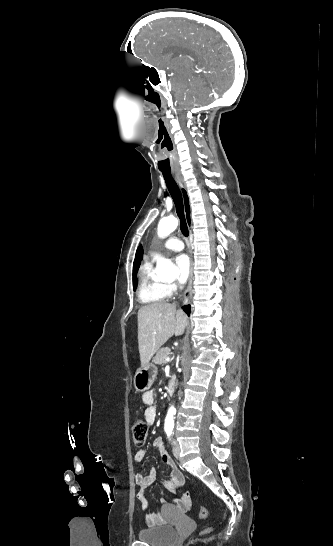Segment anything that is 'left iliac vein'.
I'll return each instance as SVG.
<instances>
[{
  "instance_id": "left-iliac-vein-1",
  "label": "left iliac vein",
  "mask_w": 333,
  "mask_h": 546,
  "mask_svg": "<svg viewBox=\"0 0 333 546\" xmlns=\"http://www.w3.org/2000/svg\"><path fill=\"white\" fill-rule=\"evenodd\" d=\"M172 451H173L174 457L178 459L179 456H180V447H179V445H178V443L176 441H173Z\"/></svg>"
}]
</instances>
